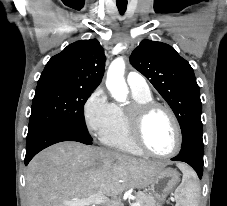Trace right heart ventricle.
Masks as SVG:
<instances>
[{"mask_svg": "<svg viewBox=\"0 0 227 206\" xmlns=\"http://www.w3.org/2000/svg\"><path fill=\"white\" fill-rule=\"evenodd\" d=\"M133 102L152 101V95L149 92L140 93L132 91ZM102 142L119 151L132 155H143L132 142L128 131L126 110L120 105L114 104V119L110 128L102 135Z\"/></svg>", "mask_w": 227, "mask_h": 206, "instance_id": "right-heart-ventricle-1", "label": "right heart ventricle"}]
</instances>
